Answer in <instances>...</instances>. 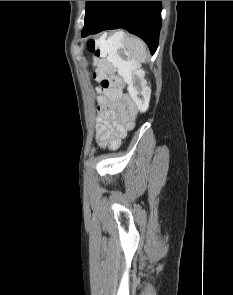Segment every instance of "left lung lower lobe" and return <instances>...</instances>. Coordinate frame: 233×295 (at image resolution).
<instances>
[{
    "label": "left lung lower lobe",
    "instance_id": "0a47b994",
    "mask_svg": "<svg viewBox=\"0 0 233 295\" xmlns=\"http://www.w3.org/2000/svg\"><path fill=\"white\" fill-rule=\"evenodd\" d=\"M116 28L142 38L154 54L161 28V1H96L85 19L82 37Z\"/></svg>",
    "mask_w": 233,
    "mask_h": 295
}]
</instances>
